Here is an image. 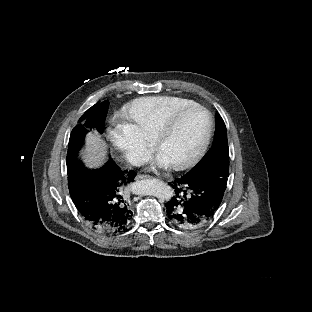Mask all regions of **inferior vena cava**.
I'll return each instance as SVG.
<instances>
[{"mask_svg":"<svg viewBox=\"0 0 312 312\" xmlns=\"http://www.w3.org/2000/svg\"><path fill=\"white\" fill-rule=\"evenodd\" d=\"M146 157L143 153H135L130 156V164L134 166H141L143 163L146 162Z\"/></svg>","mask_w":312,"mask_h":312,"instance_id":"1","label":"inferior vena cava"}]
</instances>
